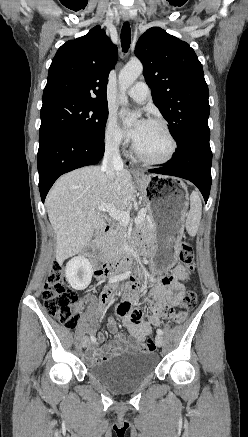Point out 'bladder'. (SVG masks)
I'll use <instances>...</instances> for the list:
<instances>
[{
    "label": "bladder",
    "instance_id": "obj_1",
    "mask_svg": "<svg viewBox=\"0 0 248 437\" xmlns=\"http://www.w3.org/2000/svg\"><path fill=\"white\" fill-rule=\"evenodd\" d=\"M155 367L151 353L127 352L90 366L88 372L109 390L124 393L151 376Z\"/></svg>",
    "mask_w": 248,
    "mask_h": 437
}]
</instances>
